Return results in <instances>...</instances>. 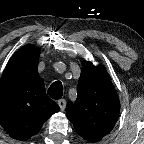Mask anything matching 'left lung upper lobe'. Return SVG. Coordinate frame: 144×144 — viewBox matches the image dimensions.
Masks as SVG:
<instances>
[{
    "label": "left lung upper lobe",
    "instance_id": "5c2ea615",
    "mask_svg": "<svg viewBox=\"0 0 144 144\" xmlns=\"http://www.w3.org/2000/svg\"><path fill=\"white\" fill-rule=\"evenodd\" d=\"M120 103L104 66L84 62L75 103L68 102L66 115L76 132L89 142L100 141L114 128Z\"/></svg>",
    "mask_w": 144,
    "mask_h": 144
}]
</instances>
